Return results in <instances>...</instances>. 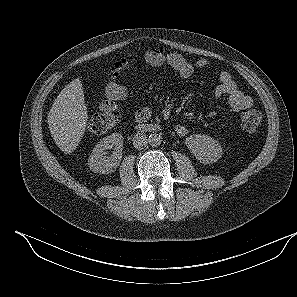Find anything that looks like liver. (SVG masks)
<instances>
[{"instance_id": "liver-1", "label": "liver", "mask_w": 297, "mask_h": 297, "mask_svg": "<svg viewBox=\"0 0 297 297\" xmlns=\"http://www.w3.org/2000/svg\"><path fill=\"white\" fill-rule=\"evenodd\" d=\"M87 106L79 78L74 79L55 99L47 118L56 145L66 154L79 145L87 126Z\"/></svg>"}]
</instances>
